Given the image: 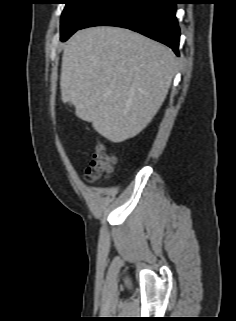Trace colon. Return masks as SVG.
<instances>
[{
  "label": "colon",
  "mask_w": 236,
  "mask_h": 321,
  "mask_svg": "<svg viewBox=\"0 0 236 321\" xmlns=\"http://www.w3.org/2000/svg\"><path fill=\"white\" fill-rule=\"evenodd\" d=\"M116 162V158L102 143H98L91 162L84 173L88 183H94L108 175Z\"/></svg>",
  "instance_id": "1"
}]
</instances>
